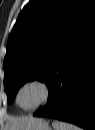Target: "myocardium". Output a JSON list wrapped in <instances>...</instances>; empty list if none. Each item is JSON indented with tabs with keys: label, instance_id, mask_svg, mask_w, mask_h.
Returning <instances> with one entry per match:
<instances>
[{
	"label": "myocardium",
	"instance_id": "myocardium-1",
	"mask_svg": "<svg viewBox=\"0 0 95 130\" xmlns=\"http://www.w3.org/2000/svg\"><path fill=\"white\" fill-rule=\"evenodd\" d=\"M29 85L40 86L43 90V98L37 105H35L31 108H23L19 105V102H18L19 94L23 88H25L26 86H29ZM51 94H52L51 86L46 80H44L42 78H30V79L24 81L18 87V89L15 93V103L18 106V108H20L21 110L26 111V112H31V111H35V110L39 109L40 107H42L43 105H45L49 101Z\"/></svg>",
	"mask_w": 95,
	"mask_h": 130
}]
</instances>
